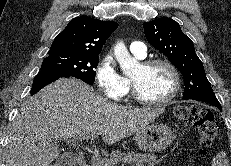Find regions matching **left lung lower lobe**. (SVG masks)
Masks as SVG:
<instances>
[{
    "label": "left lung lower lobe",
    "mask_w": 231,
    "mask_h": 166,
    "mask_svg": "<svg viewBox=\"0 0 231 166\" xmlns=\"http://www.w3.org/2000/svg\"><path fill=\"white\" fill-rule=\"evenodd\" d=\"M192 100H197V101H202V102H207L210 103L214 106H216L218 109L222 110L221 105L219 103V101L217 100L216 97H212V98H202V99H192Z\"/></svg>",
    "instance_id": "left-lung-lower-lobe-1"
}]
</instances>
